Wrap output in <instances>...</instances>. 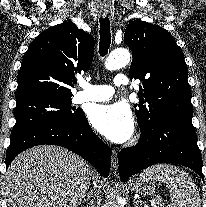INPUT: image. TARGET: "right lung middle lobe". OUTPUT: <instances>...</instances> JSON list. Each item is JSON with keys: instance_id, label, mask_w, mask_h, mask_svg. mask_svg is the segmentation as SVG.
Returning a JSON list of instances; mask_svg holds the SVG:
<instances>
[{"instance_id": "right-lung-middle-lobe-1", "label": "right lung middle lobe", "mask_w": 206, "mask_h": 207, "mask_svg": "<svg viewBox=\"0 0 206 207\" xmlns=\"http://www.w3.org/2000/svg\"><path fill=\"white\" fill-rule=\"evenodd\" d=\"M13 130L47 121H78L85 114L71 107V95L36 94L16 100Z\"/></svg>"}]
</instances>
